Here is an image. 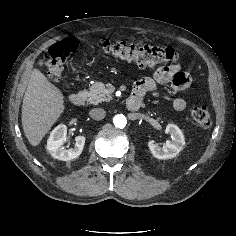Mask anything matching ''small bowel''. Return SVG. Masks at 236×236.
Returning <instances> with one entry per match:
<instances>
[{"mask_svg":"<svg viewBox=\"0 0 236 236\" xmlns=\"http://www.w3.org/2000/svg\"><path fill=\"white\" fill-rule=\"evenodd\" d=\"M170 83L177 92H183L189 88L191 78L188 73L181 70L180 65H169L161 67L155 71L153 76L145 77L137 81L133 88V95L141 98L148 92L155 91L159 84ZM172 107L176 111H182L186 107V102L182 98H175Z\"/></svg>","mask_w":236,"mask_h":236,"instance_id":"small-bowel-1","label":"small bowel"}]
</instances>
